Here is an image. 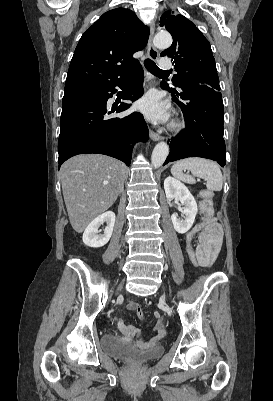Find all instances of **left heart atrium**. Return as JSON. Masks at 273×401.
<instances>
[{
  "label": "left heart atrium",
  "mask_w": 273,
  "mask_h": 401,
  "mask_svg": "<svg viewBox=\"0 0 273 401\" xmlns=\"http://www.w3.org/2000/svg\"><path fill=\"white\" fill-rule=\"evenodd\" d=\"M138 109L152 122H163L169 117L168 108L155 95H148L141 99Z\"/></svg>",
  "instance_id": "39dd6f15"
}]
</instances>
